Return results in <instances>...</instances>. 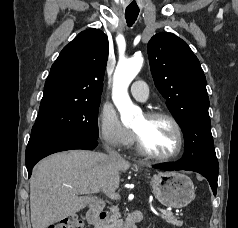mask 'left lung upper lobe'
Here are the masks:
<instances>
[{"mask_svg": "<svg viewBox=\"0 0 238 228\" xmlns=\"http://www.w3.org/2000/svg\"><path fill=\"white\" fill-rule=\"evenodd\" d=\"M155 86L184 134V166L218 165L208 114L206 78L187 43L172 33H159L147 45Z\"/></svg>", "mask_w": 238, "mask_h": 228, "instance_id": "5c2ea615", "label": "left lung upper lobe"}]
</instances>
